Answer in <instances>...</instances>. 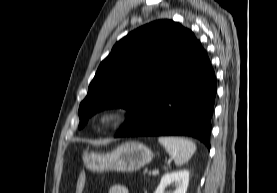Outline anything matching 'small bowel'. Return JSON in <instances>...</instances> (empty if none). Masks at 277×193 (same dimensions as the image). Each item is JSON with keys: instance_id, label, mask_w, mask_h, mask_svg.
Here are the masks:
<instances>
[{"instance_id": "c3829d8e", "label": "small bowel", "mask_w": 277, "mask_h": 193, "mask_svg": "<svg viewBox=\"0 0 277 193\" xmlns=\"http://www.w3.org/2000/svg\"><path fill=\"white\" fill-rule=\"evenodd\" d=\"M108 193H129L128 189L123 185H113L109 188Z\"/></svg>"}]
</instances>
